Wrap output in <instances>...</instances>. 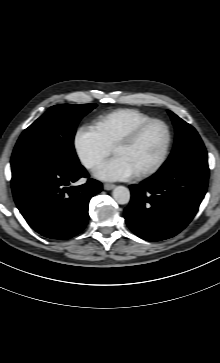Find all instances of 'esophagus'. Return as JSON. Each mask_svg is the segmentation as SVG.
<instances>
[{
  "label": "esophagus",
  "mask_w": 220,
  "mask_h": 363,
  "mask_svg": "<svg viewBox=\"0 0 220 363\" xmlns=\"http://www.w3.org/2000/svg\"><path fill=\"white\" fill-rule=\"evenodd\" d=\"M103 187H104L105 190H112V189H114L116 187V185L115 184H110V183H105Z\"/></svg>",
  "instance_id": "obj_1"
}]
</instances>
